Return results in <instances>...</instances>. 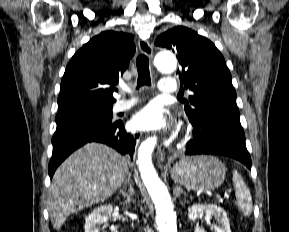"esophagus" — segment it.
Here are the masks:
<instances>
[{
	"mask_svg": "<svg viewBox=\"0 0 289 232\" xmlns=\"http://www.w3.org/2000/svg\"><path fill=\"white\" fill-rule=\"evenodd\" d=\"M138 46H139L140 51L143 54H145L150 59H152L153 49L148 40L146 39L139 40ZM156 156H157L158 161H162L165 158V151L161 148H158Z\"/></svg>",
	"mask_w": 289,
	"mask_h": 232,
	"instance_id": "1",
	"label": "esophagus"
}]
</instances>
